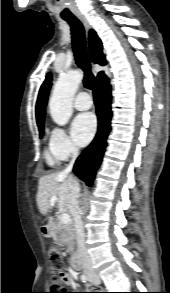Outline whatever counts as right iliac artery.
Returning a JSON list of instances; mask_svg holds the SVG:
<instances>
[{"mask_svg": "<svg viewBox=\"0 0 170 293\" xmlns=\"http://www.w3.org/2000/svg\"><path fill=\"white\" fill-rule=\"evenodd\" d=\"M81 280H82L83 282H86V280H87V276H86L85 274H83V275L81 276Z\"/></svg>", "mask_w": 170, "mask_h": 293, "instance_id": "82829eb1", "label": "right iliac artery"}]
</instances>
